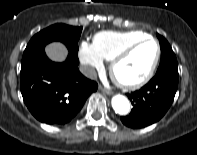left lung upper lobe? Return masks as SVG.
I'll return each instance as SVG.
<instances>
[{"label": "left lung upper lobe", "mask_w": 197, "mask_h": 155, "mask_svg": "<svg viewBox=\"0 0 197 155\" xmlns=\"http://www.w3.org/2000/svg\"><path fill=\"white\" fill-rule=\"evenodd\" d=\"M157 37L160 42L161 61L156 74L164 71H172L178 73V63L170 44L163 36L157 34Z\"/></svg>", "instance_id": "1"}]
</instances>
